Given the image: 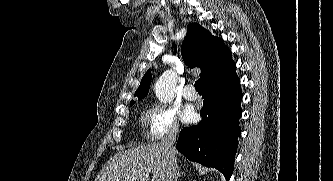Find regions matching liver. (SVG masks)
I'll list each match as a JSON object with an SVG mask.
<instances>
[{
	"label": "liver",
	"instance_id": "6515ba94",
	"mask_svg": "<svg viewBox=\"0 0 333 181\" xmlns=\"http://www.w3.org/2000/svg\"><path fill=\"white\" fill-rule=\"evenodd\" d=\"M176 154V151H175ZM169 156L161 143L116 153L102 167L95 181H166Z\"/></svg>",
	"mask_w": 333,
	"mask_h": 181
}]
</instances>
